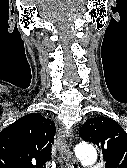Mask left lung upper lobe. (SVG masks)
I'll use <instances>...</instances> for the list:
<instances>
[{
	"label": "left lung upper lobe",
	"instance_id": "1",
	"mask_svg": "<svg viewBox=\"0 0 127 168\" xmlns=\"http://www.w3.org/2000/svg\"><path fill=\"white\" fill-rule=\"evenodd\" d=\"M79 135L99 148L105 168H127V133L115 120L104 116L88 119Z\"/></svg>",
	"mask_w": 127,
	"mask_h": 168
}]
</instances>
